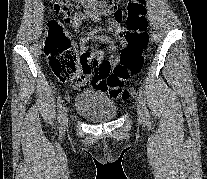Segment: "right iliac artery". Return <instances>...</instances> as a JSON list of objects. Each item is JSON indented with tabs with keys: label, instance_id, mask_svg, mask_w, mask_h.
<instances>
[{
	"label": "right iliac artery",
	"instance_id": "right-iliac-artery-1",
	"mask_svg": "<svg viewBox=\"0 0 207 179\" xmlns=\"http://www.w3.org/2000/svg\"><path fill=\"white\" fill-rule=\"evenodd\" d=\"M57 107H58V121L60 122L62 109H63V99L61 97H58L57 99Z\"/></svg>",
	"mask_w": 207,
	"mask_h": 179
}]
</instances>
